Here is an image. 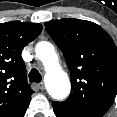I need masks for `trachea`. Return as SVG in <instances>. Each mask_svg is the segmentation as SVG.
Instances as JSON below:
<instances>
[{"label": "trachea", "instance_id": "obj_1", "mask_svg": "<svg viewBox=\"0 0 117 117\" xmlns=\"http://www.w3.org/2000/svg\"><path fill=\"white\" fill-rule=\"evenodd\" d=\"M29 80L30 82L40 83L42 80L41 74L35 68L31 69L29 72Z\"/></svg>", "mask_w": 117, "mask_h": 117}]
</instances>
